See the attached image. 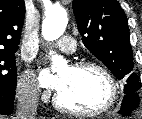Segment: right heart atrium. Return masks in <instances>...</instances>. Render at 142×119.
I'll return each mask as SVG.
<instances>
[{
  "label": "right heart atrium",
  "mask_w": 142,
  "mask_h": 119,
  "mask_svg": "<svg viewBox=\"0 0 142 119\" xmlns=\"http://www.w3.org/2000/svg\"><path fill=\"white\" fill-rule=\"evenodd\" d=\"M17 92L25 100L36 101L39 97L35 79L30 71L24 72L17 82Z\"/></svg>",
  "instance_id": "1"
}]
</instances>
